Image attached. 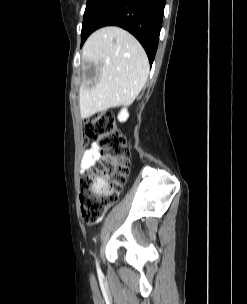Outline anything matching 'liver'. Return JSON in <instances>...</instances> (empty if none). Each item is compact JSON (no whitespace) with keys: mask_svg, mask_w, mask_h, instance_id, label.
<instances>
[{"mask_svg":"<svg viewBox=\"0 0 247 304\" xmlns=\"http://www.w3.org/2000/svg\"><path fill=\"white\" fill-rule=\"evenodd\" d=\"M82 60L93 63L99 77L95 86L83 83L80 87L82 119L109 108L132 104L149 74L143 47L119 27H104L91 34L83 46Z\"/></svg>","mask_w":247,"mask_h":304,"instance_id":"6515ba94","label":"liver"}]
</instances>
